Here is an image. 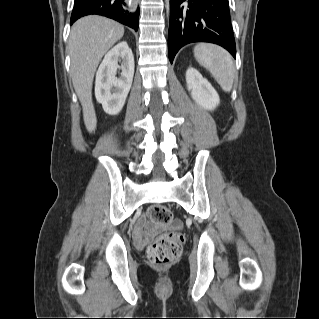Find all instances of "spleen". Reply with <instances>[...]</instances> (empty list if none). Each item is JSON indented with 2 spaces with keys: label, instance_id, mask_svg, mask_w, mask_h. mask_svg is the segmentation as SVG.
Masks as SVG:
<instances>
[{
  "label": "spleen",
  "instance_id": "1",
  "mask_svg": "<svg viewBox=\"0 0 319 319\" xmlns=\"http://www.w3.org/2000/svg\"><path fill=\"white\" fill-rule=\"evenodd\" d=\"M194 56L200 65L210 71L224 91H231L235 70L227 51L212 44H198L194 47Z\"/></svg>",
  "mask_w": 319,
  "mask_h": 319
}]
</instances>
